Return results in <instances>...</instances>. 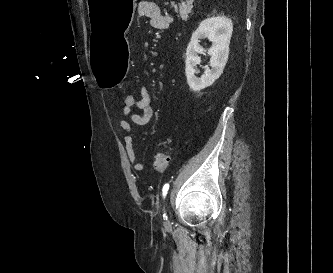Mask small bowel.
<instances>
[{
    "label": "small bowel",
    "instance_id": "1",
    "mask_svg": "<svg viewBox=\"0 0 333 273\" xmlns=\"http://www.w3.org/2000/svg\"><path fill=\"white\" fill-rule=\"evenodd\" d=\"M138 12L141 16L147 17L150 21V25L155 29H167L172 24V18L169 15L163 14L155 3L148 1L141 2L138 6ZM135 108L138 109L140 113H135L133 111ZM135 108H122L123 119L118 122V126L126 133L124 144L128 160L135 171L141 172L144 170V165L138 161L134 150L132 123L138 126H144L147 125L154 116L150 92L147 87L142 86L140 88L139 97H136Z\"/></svg>",
    "mask_w": 333,
    "mask_h": 273
}]
</instances>
